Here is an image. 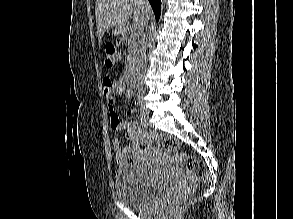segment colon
<instances>
[{"label":"colon","instance_id":"5ec220e1","mask_svg":"<svg viewBox=\"0 0 293 219\" xmlns=\"http://www.w3.org/2000/svg\"><path fill=\"white\" fill-rule=\"evenodd\" d=\"M122 54L119 49H117L112 44H107L105 46V64L107 67H112L121 60ZM152 141L161 149L169 152L175 156V158L180 162V164L190 172L196 171L198 168L197 159L190 154L179 152L178 141L168 135H152ZM201 182H207L209 179V174L206 171H202L199 175ZM192 192V185H187L176 191L171 197L167 199L166 205L170 211H174L180 207L185 198Z\"/></svg>","mask_w":293,"mask_h":219}]
</instances>
